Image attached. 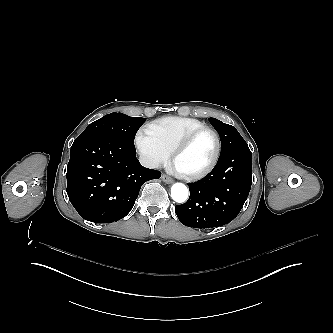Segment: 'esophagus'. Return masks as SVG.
Returning a JSON list of instances; mask_svg holds the SVG:
<instances>
[{"instance_id":"34e87169","label":"esophagus","mask_w":333,"mask_h":333,"mask_svg":"<svg viewBox=\"0 0 333 333\" xmlns=\"http://www.w3.org/2000/svg\"><path fill=\"white\" fill-rule=\"evenodd\" d=\"M161 179L163 182H165L166 184H172L174 181L171 177L167 176L166 174H162Z\"/></svg>"}]
</instances>
